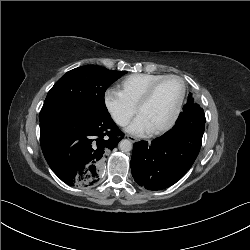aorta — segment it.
I'll use <instances>...</instances> for the list:
<instances>
[{
	"label": "aorta",
	"instance_id": "obj_1",
	"mask_svg": "<svg viewBox=\"0 0 250 250\" xmlns=\"http://www.w3.org/2000/svg\"><path fill=\"white\" fill-rule=\"evenodd\" d=\"M119 148L122 152H129L132 149V143L128 139H123L119 143Z\"/></svg>",
	"mask_w": 250,
	"mask_h": 250
}]
</instances>
